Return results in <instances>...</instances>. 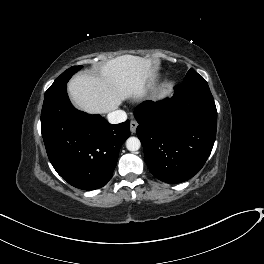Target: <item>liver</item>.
<instances>
[{"mask_svg":"<svg viewBox=\"0 0 264 264\" xmlns=\"http://www.w3.org/2000/svg\"><path fill=\"white\" fill-rule=\"evenodd\" d=\"M153 75L150 59L122 55L102 64L97 74L75 75L68 83V92L80 110L90 114H107L125 100L144 95Z\"/></svg>","mask_w":264,"mask_h":264,"instance_id":"1","label":"liver"}]
</instances>
